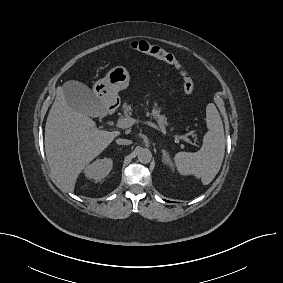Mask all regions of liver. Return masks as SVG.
I'll use <instances>...</instances> for the list:
<instances>
[{
	"label": "liver",
	"instance_id": "liver-1",
	"mask_svg": "<svg viewBox=\"0 0 283 283\" xmlns=\"http://www.w3.org/2000/svg\"><path fill=\"white\" fill-rule=\"evenodd\" d=\"M120 131H104L71 108L62 88L50 109L45 126V152L52 174L62 189L73 192L82 170L97 157Z\"/></svg>",
	"mask_w": 283,
	"mask_h": 283
}]
</instances>
